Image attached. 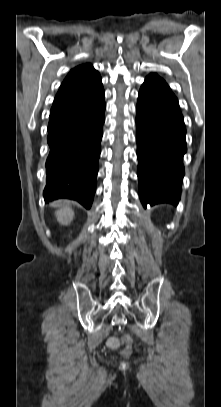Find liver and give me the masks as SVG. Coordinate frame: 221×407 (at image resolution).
<instances>
[{
	"label": "liver",
	"instance_id": "1",
	"mask_svg": "<svg viewBox=\"0 0 221 407\" xmlns=\"http://www.w3.org/2000/svg\"><path fill=\"white\" fill-rule=\"evenodd\" d=\"M55 216L61 225H68L74 218V211L69 206H59Z\"/></svg>",
	"mask_w": 221,
	"mask_h": 407
}]
</instances>
